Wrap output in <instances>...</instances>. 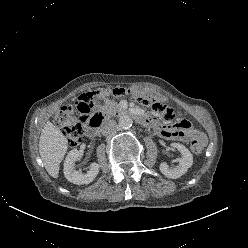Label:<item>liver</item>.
Segmentation results:
<instances>
[{
  "instance_id": "obj_1",
  "label": "liver",
  "mask_w": 248,
  "mask_h": 248,
  "mask_svg": "<svg viewBox=\"0 0 248 248\" xmlns=\"http://www.w3.org/2000/svg\"><path fill=\"white\" fill-rule=\"evenodd\" d=\"M68 149V141L63 133L51 122H47L39 139V153L45 169L58 178L59 166Z\"/></svg>"
}]
</instances>
